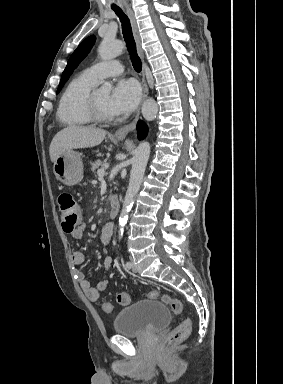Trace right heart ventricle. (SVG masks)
<instances>
[{"label":"right heart ventricle","instance_id":"right-heart-ventricle-1","mask_svg":"<svg viewBox=\"0 0 283 384\" xmlns=\"http://www.w3.org/2000/svg\"><path fill=\"white\" fill-rule=\"evenodd\" d=\"M96 84L85 72L73 77L64 88L57 106L58 121L67 129H83L93 122L83 113V102Z\"/></svg>","mask_w":283,"mask_h":384}]
</instances>
